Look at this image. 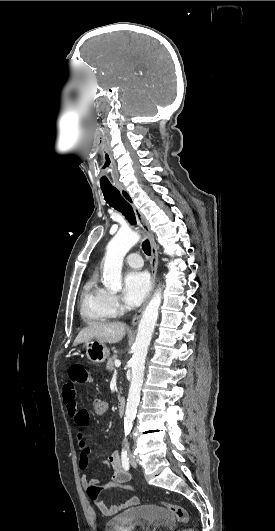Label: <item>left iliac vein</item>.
Returning a JSON list of instances; mask_svg holds the SVG:
<instances>
[{"label": "left iliac vein", "instance_id": "1", "mask_svg": "<svg viewBox=\"0 0 275 531\" xmlns=\"http://www.w3.org/2000/svg\"><path fill=\"white\" fill-rule=\"evenodd\" d=\"M130 463H131L132 467H137V462L131 455H130Z\"/></svg>", "mask_w": 275, "mask_h": 531}]
</instances>
